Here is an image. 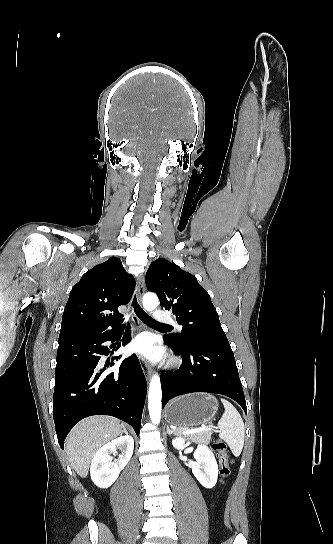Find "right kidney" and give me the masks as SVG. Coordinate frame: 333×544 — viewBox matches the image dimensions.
<instances>
[{"label":"right kidney","mask_w":333,"mask_h":544,"mask_svg":"<svg viewBox=\"0 0 333 544\" xmlns=\"http://www.w3.org/2000/svg\"><path fill=\"white\" fill-rule=\"evenodd\" d=\"M121 451L119 458L112 462L111 454ZM134 450L133 438L126 434L103 445L94 455L90 467L93 483L102 489L110 487L118 478L121 470L127 465Z\"/></svg>","instance_id":"right-kidney-1"}]
</instances>
